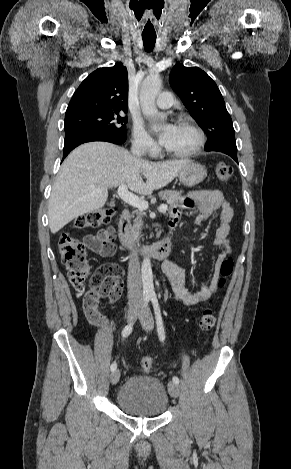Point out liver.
I'll return each instance as SVG.
<instances>
[{"label": "liver", "mask_w": 291, "mask_h": 469, "mask_svg": "<svg viewBox=\"0 0 291 469\" xmlns=\"http://www.w3.org/2000/svg\"><path fill=\"white\" fill-rule=\"evenodd\" d=\"M190 162H150L111 143L83 144L65 159L52 187L50 230L55 234L73 219L103 207L108 188L124 184L135 193L150 195L168 185Z\"/></svg>", "instance_id": "1"}]
</instances>
